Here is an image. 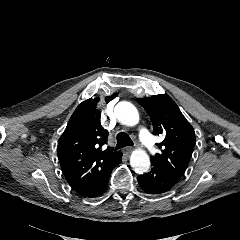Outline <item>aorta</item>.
Masks as SVG:
<instances>
[{
	"label": "aorta",
	"instance_id": "762f6f07",
	"mask_svg": "<svg viewBox=\"0 0 240 240\" xmlns=\"http://www.w3.org/2000/svg\"><path fill=\"white\" fill-rule=\"evenodd\" d=\"M115 116L118 121L127 126H134L139 122V114L136 107L129 102H120L115 107ZM150 158L148 154L137 149L132 152L130 165L137 173L147 172L150 168Z\"/></svg>",
	"mask_w": 240,
	"mask_h": 240
}]
</instances>
